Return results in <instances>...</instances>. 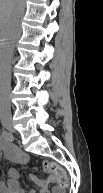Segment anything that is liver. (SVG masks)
<instances>
[{
    "label": "liver",
    "instance_id": "6515ba94",
    "mask_svg": "<svg viewBox=\"0 0 103 193\" xmlns=\"http://www.w3.org/2000/svg\"><path fill=\"white\" fill-rule=\"evenodd\" d=\"M21 4V0H0V23L3 36L8 34L9 27Z\"/></svg>",
    "mask_w": 103,
    "mask_h": 193
}]
</instances>
